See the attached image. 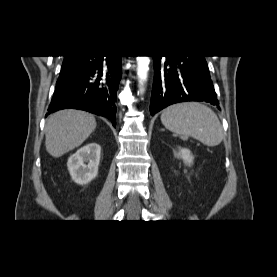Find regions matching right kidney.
<instances>
[{
	"label": "right kidney",
	"mask_w": 277,
	"mask_h": 277,
	"mask_svg": "<svg viewBox=\"0 0 277 277\" xmlns=\"http://www.w3.org/2000/svg\"><path fill=\"white\" fill-rule=\"evenodd\" d=\"M100 154V145L89 143L69 157L67 167L72 179L77 184H88L97 176Z\"/></svg>",
	"instance_id": "1"
}]
</instances>
